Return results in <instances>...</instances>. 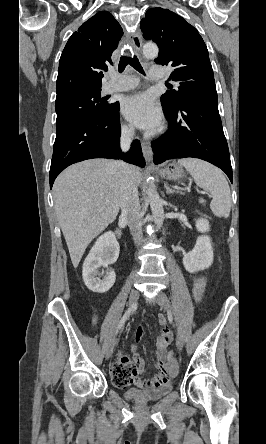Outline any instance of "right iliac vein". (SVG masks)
<instances>
[{"instance_id": "right-iliac-vein-1", "label": "right iliac vein", "mask_w": 266, "mask_h": 444, "mask_svg": "<svg viewBox=\"0 0 266 444\" xmlns=\"http://www.w3.org/2000/svg\"><path fill=\"white\" fill-rule=\"evenodd\" d=\"M138 298H139V292L137 290L133 289L130 292L129 304L133 305L134 303H136ZM115 344H116V338H113L106 348V352H105L106 359H109L111 357Z\"/></svg>"}]
</instances>
